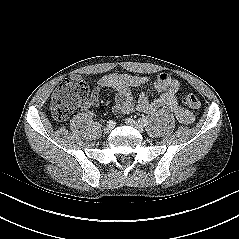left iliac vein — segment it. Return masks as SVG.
Instances as JSON below:
<instances>
[{
    "mask_svg": "<svg viewBox=\"0 0 239 239\" xmlns=\"http://www.w3.org/2000/svg\"><path fill=\"white\" fill-rule=\"evenodd\" d=\"M125 123L129 126L136 128L139 132H143V126L140 125L137 121L127 118L125 119Z\"/></svg>",
    "mask_w": 239,
    "mask_h": 239,
    "instance_id": "4c4485c4",
    "label": "left iliac vein"
}]
</instances>
